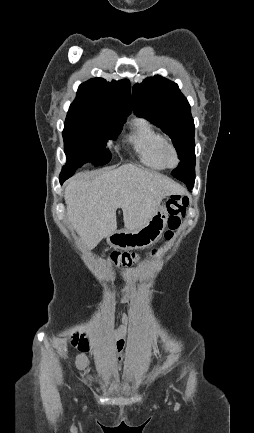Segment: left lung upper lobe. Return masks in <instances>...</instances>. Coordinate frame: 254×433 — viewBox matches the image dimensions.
<instances>
[{"label":"left lung upper lobe","mask_w":254,"mask_h":433,"mask_svg":"<svg viewBox=\"0 0 254 433\" xmlns=\"http://www.w3.org/2000/svg\"><path fill=\"white\" fill-rule=\"evenodd\" d=\"M134 113L161 128L170 136L180 163L172 175L185 184L195 181V126L191 108L178 85L161 76L135 84L132 91Z\"/></svg>","instance_id":"obj_1"}]
</instances>
